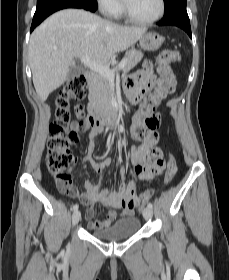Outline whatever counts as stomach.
Here are the masks:
<instances>
[{"mask_svg": "<svg viewBox=\"0 0 229 280\" xmlns=\"http://www.w3.org/2000/svg\"><path fill=\"white\" fill-rule=\"evenodd\" d=\"M163 43V38L154 32L145 33L139 39L140 47L146 51L158 50Z\"/></svg>", "mask_w": 229, "mask_h": 280, "instance_id": "1", "label": "stomach"}]
</instances>
